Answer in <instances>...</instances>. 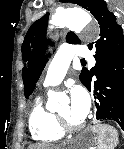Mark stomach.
<instances>
[{"label": "stomach", "mask_w": 124, "mask_h": 149, "mask_svg": "<svg viewBox=\"0 0 124 149\" xmlns=\"http://www.w3.org/2000/svg\"><path fill=\"white\" fill-rule=\"evenodd\" d=\"M95 127V126H94ZM92 127L80 133L72 142L69 149H90L97 143V132Z\"/></svg>", "instance_id": "0dacf381"}]
</instances>
